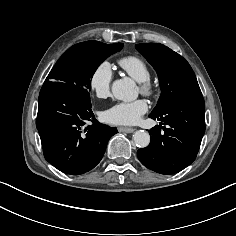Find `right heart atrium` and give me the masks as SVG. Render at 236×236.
<instances>
[{
  "mask_svg": "<svg viewBox=\"0 0 236 236\" xmlns=\"http://www.w3.org/2000/svg\"><path fill=\"white\" fill-rule=\"evenodd\" d=\"M112 77L113 73L110 64L105 61L99 63L89 76V89L98 98L107 97L110 93Z\"/></svg>",
  "mask_w": 236,
  "mask_h": 236,
  "instance_id": "obj_1",
  "label": "right heart atrium"
}]
</instances>
